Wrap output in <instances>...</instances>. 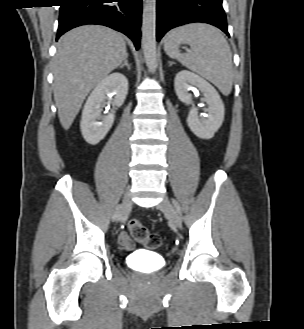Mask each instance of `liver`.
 <instances>
[{"label": "liver", "instance_id": "6515ba94", "mask_svg": "<svg viewBox=\"0 0 304 329\" xmlns=\"http://www.w3.org/2000/svg\"><path fill=\"white\" fill-rule=\"evenodd\" d=\"M122 34L100 25H84L64 34L54 57V99L67 130L88 93L127 56Z\"/></svg>", "mask_w": 304, "mask_h": 329}]
</instances>
